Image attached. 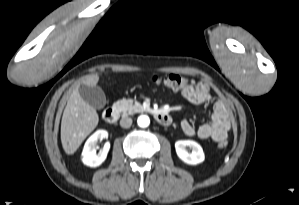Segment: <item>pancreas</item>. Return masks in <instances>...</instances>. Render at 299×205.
Segmentation results:
<instances>
[{
    "mask_svg": "<svg viewBox=\"0 0 299 205\" xmlns=\"http://www.w3.org/2000/svg\"><path fill=\"white\" fill-rule=\"evenodd\" d=\"M113 107L122 112L124 116L132 115L139 112H144V107L139 102H134L130 99H122L114 103Z\"/></svg>",
    "mask_w": 299,
    "mask_h": 205,
    "instance_id": "1",
    "label": "pancreas"
}]
</instances>
